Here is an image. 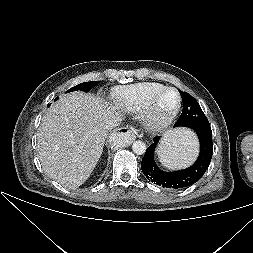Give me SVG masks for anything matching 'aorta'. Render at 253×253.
Instances as JSON below:
<instances>
[{"label": "aorta", "mask_w": 253, "mask_h": 253, "mask_svg": "<svg viewBox=\"0 0 253 253\" xmlns=\"http://www.w3.org/2000/svg\"><path fill=\"white\" fill-rule=\"evenodd\" d=\"M132 150L137 155H143L146 152V144L142 141H135Z\"/></svg>", "instance_id": "1"}]
</instances>
